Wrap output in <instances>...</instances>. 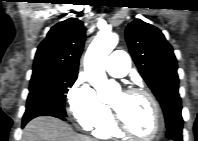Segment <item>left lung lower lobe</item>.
I'll list each match as a JSON object with an SVG mask.
<instances>
[{"label": "left lung lower lobe", "mask_w": 198, "mask_h": 141, "mask_svg": "<svg viewBox=\"0 0 198 141\" xmlns=\"http://www.w3.org/2000/svg\"><path fill=\"white\" fill-rule=\"evenodd\" d=\"M167 137L175 141H182V128L175 127L167 130Z\"/></svg>", "instance_id": "left-lung-lower-lobe-1"}]
</instances>
